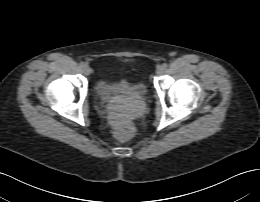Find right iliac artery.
Masks as SVG:
<instances>
[{
  "mask_svg": "<svg viewBox=\"0 0 260 202\" xmlns=\"http://www.w3.org/2000/svg\"><path fill=\"white\" fill-rule=\"evenodd\" d=\"M85 66L84 62L80 63V67L83 68Z\"/></svg>",
  "mask_w": 260,
  "mask_h": 202,
  "instance_id": "82829eb1",
  "label": "right iliac artery"
}]
</instances>
